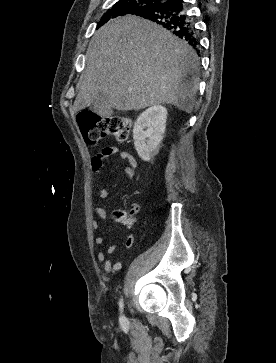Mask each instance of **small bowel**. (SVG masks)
Segmentation results:
<instances>
[{"label":"small bowel","mask_w":276,"mask_h":363,"mask_svg":"<svg viewBox=\"0 0 276 363\" xmlns=\"http://www.w3.org/2000/svg\"><path fill=\"white\" fill-rule=\"evenodd\" d=\"M113 155H117L121 160H125L128 162V165L123 167V171L126 178H132L135 170L137 168V161L134 156L128 151L121 150L117 146H107L104 147L101 151H99L96 155H94L91 159V169L93 175L97 181L96 194L99 198H106L108 195L107 189L103 184V166L104 161ZM130 214L135 215L139 212V205L137 203H133L130 206ZM94 212L97 215V218H94L91 221V225L93 229H98L101 225V222L106 217V210L101 206H95ZM134 241V235L130 234L126 238L125 247L130 248ZM95 243L97 245H103L104 238L102 236H97L95 238ZM116 245H109L105 251H100L97 253V260L103 264V270L106 273L117 272L122 268L123 261L116 260L112 262L108 255L112 254L116 251Z\"/></svg>","instance_id":"small-bowel-1"}]
</instances>
